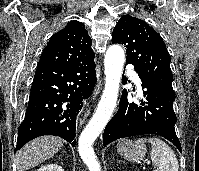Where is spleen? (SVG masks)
<instances>
[{
	"instance_id": "obj_1",
	"label": "spleen",
	"mask_w": 199,
	"mask_h": 171,
	"mask_svg": "<svg viewBox=\"0 0 199 171\" xmlns=\"http://www.w3.org/2000/svg\"><path fill=\"white\" fill-rule=\"evenodd\" d=\"M138 143L148 142L152 145L151 160L154 171H179V164L174 151L159 138H141Z\"/></svg>"
}]
</instances>
